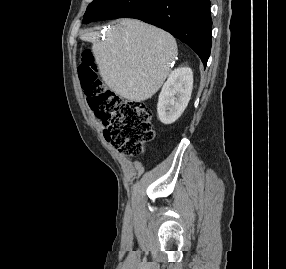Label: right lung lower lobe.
<instances>
[{
  "mask_svg": "<svg viewBox=\"0 0 286 269\" xmlns=\"http://www.w3.org/2000/svg\"><path fill=\"white\" fill-rule=\"evenodd\" d=\"M127 18L158 26L189 45L206 66L211 50L209 0H152Z\"/></svg>",
  "mask_w": 286,
  "mask_h": 269,
  "instance_id": "98d812e1",
  "label": "right lung lower lobe"
}]
</instances>
